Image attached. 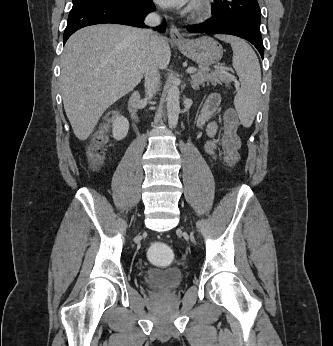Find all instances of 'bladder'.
Masks as SVG:
<instances>
[{"label":"bladder","mask_w":333,"mask_h":346,"mask_svg":"<svg viewBox=\"0 0 333 346\" xmlns=\"http://www.w3.org/2000/svg\"><path fill=\"white\" fill-rule=\"evenodd\" d=\"M146 284L163 289H176L183 284V273L177 269H149L144 276Z\"/></svg>","instance_id":"31cf9c89"}]
</instances>
